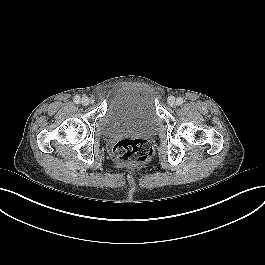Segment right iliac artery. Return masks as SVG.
I'll use <instances>...</instances> for the list:
<instances>
[{
	"mask_svg": "<svg viewBox=\"0 0 265 265\" xmlns=\"http://www.w3.org/2000/svg\"><path fill=\"white\" fill-rule=\"evenodd\" d=\"M80 96H78V95H76L75 97H74V102L76 103V104H78V103H80Z\"/></svg>",
	"mask_w": 265,
	"mask_h": 265,
	"instance_id": "right-iliac-artery-1",
	"label": "right iliac artery"
}]
</instances>
